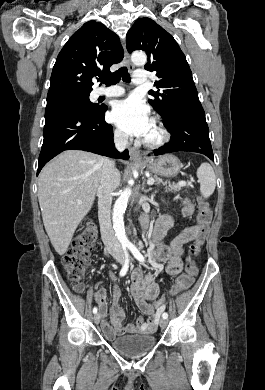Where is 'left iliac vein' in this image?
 <instances>
[{
    "mask_svg": "<svg viewBox=\"0 0 265 390\" xmlns=\"http://www.w3.org/2000/svg\"><path fill=\"white\" fill-rule=\"evenodd\" d=\"M159 324H160V327L165 328L168 324V321H167V319L162 318V319H160Z\"/></svg>",
    "mask_w": 265,
    "mask_h": 390,
    "instance_id": "4c4485c4",
    "label": "left iliac vein"
}]
</instances>
